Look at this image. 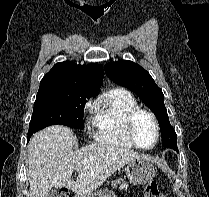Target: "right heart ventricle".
Segmentation results:
<instances>
[{"label": "right heart ventricle", "mask_w": 209, "mask_h": 197, "mask_svg": "<svg viewBox=\"0 0 209 197\" xmlns=\"http://www.w3.org/2000/svg\"><path fill=\"white\" fill-rule=\"evenodd\" d=\"M136 107L138 102L130 91L124 88L107 91L97 102L92 119L96 139L116 147L134 148L127 135L126 121Z\"/></svg>", "instance_id": "obj_1"}]
</instances>
